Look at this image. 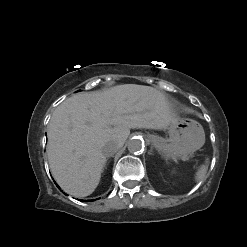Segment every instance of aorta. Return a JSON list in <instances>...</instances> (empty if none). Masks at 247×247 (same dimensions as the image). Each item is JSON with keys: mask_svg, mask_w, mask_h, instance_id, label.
<instances>
[{"mask_svg": "<svg viewBox=\"0 0 247 247\" xmlns=\"http://www.w3.org/2000/svg\"><path fill=\"white\" fill-rule=\"evenodd\" d=\"M144 149V141L142 138L133 137L128 142V150L130 153H139Z\"/></svg>", "mask_w": 247, "mask_h": 247, "instance_id": "1", "label": "aorta"}]
</instances>
